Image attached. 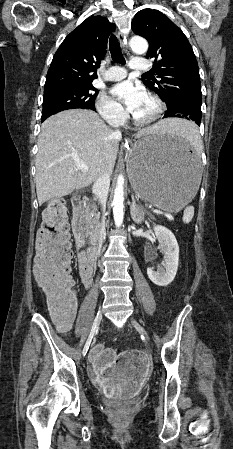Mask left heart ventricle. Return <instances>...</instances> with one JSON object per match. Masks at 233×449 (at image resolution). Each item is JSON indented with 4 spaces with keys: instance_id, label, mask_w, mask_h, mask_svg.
Returning a JSON list of instances; mask_svg holds the SVG:
<instances>
[{
    "instance_id": "left-heart-ventricle-1",
    "label": "left heart ventricle",
    "mask_w": 233,
    "mask_h": 449,
    "mask_svg": "<svg viewBox=\"0 0 233 449\" xmlns=\"http://www.w3.org/2000/svg\"><path fill=\"white\" fill-rule=\"evenodd\" d=\"M154 111H155L154 103L152 102L151 99L146 97L140 109L135 114V116L138 117L139 119H146L149 118L154 113Z\"/></svg>"
}]
</instances>
